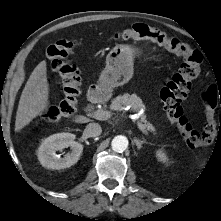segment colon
<instances>
[{
  "mask_svg": "<svg viewBox=\"0 0 221 221\" xmlns=\"http://www.w3.org/2000/svg\"><path fill=\"white\" fill-rule=\"evenodd\" d=\"M114 37L117 41H149L182 59L178 71L160 92L166 115L189 147L211 144L216 136L215 104L212 102L213 87L206 89L207 119L203 130L198 131L193 127L182 108V101L187 97L193 80L200 72L203 54L183 41L143 24H135L119 31ZM74 47L73 41L62 39L46 50L52 69L62 79L64 90L63 101L45 112L44 118L48 122L59 121L64 117L73 116L76 112L81 92V72L79 67L68 59Z\"/></svg>",
  "mask_w": 221,
  "mask_h": 221,
  "instance_id": "1",
  "label": "colon"
}]
</instances>
